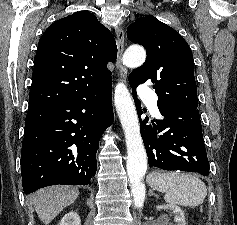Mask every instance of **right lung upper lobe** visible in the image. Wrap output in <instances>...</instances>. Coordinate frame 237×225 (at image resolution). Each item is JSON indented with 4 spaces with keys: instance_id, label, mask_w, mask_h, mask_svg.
I'll return each mask as SVG.
<instances>
[{
    "instance_id": "cb5924a9",
    "label": "right lung upper lobe",
    "mask_w": 237,
    "mask_h": 225,
    "mask_svg": "<svg viewBox=\"0 0 237 225\" xmlns=\"http://www.w3.org/2000/svg\"><path fill=\"white\" fill-rule=\"evenodd\" d=\"M117 58L112 33L88 11L47 28L34 58L29 108L63 102L112 82L108 62Z\"/></svg>"
}]
</instances>
